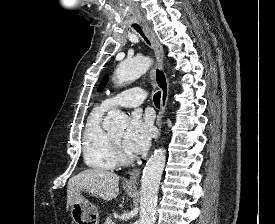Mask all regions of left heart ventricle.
<instances>
[{
  "label": "left heart ventricle",
  "mask_w": 275,
  "mask_h": 224,
  "mask_svg": "<svg viewBox=\"0 0 275 224\" xmlns=\"http://www.w3.org/2000/svg\"><path fill=\"white\" fill-rule=\"evenodd\" d=\"M110 135L112 136V138L115 141H117L119 144H121V140H122V136H123V130H119V131L113 132ZM122 149H123V147H122ZM123 151L126 152L124 149H123Z\"/></svg>",
  "instance_id": "left-heart-ventricle-1"
}]
</instances>
